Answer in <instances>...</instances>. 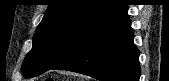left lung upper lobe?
<instances>
[{
    "label": "left lung upper lobe",
    "mask_w": 169,
    "mask_h": 81,
    "mask_svg": "<svg viewBox=\"0 0 169 81\" xmlns=\"http://www.w3.org/2000/svg\"><path fill=\"white\" fill-rule=\"evenodd\" d=\"M117 0H53L38 25L21 71L24 77L50 70L66 54L80 32Z\"/></svg>",
    "instance_id": "obj_1"
}]
</instances>
